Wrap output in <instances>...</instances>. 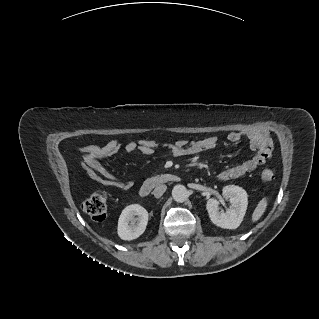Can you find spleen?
Listing matches in <instances>:
<instances>
[{
	"mask_svg": "<svg viewBox=\"0 0 319 319\" xmlns=\"http://www.w3.org/2000/svg\"><path fill=\"white\" fill-rule=\"evenodd\" d=\"M268 205L267 198H262V200L258 203L257 207L255 208L253 214H252V221L256 222L258 221L261 216L264 214L266 208Z\"/></svg>",
	"mask_w": 319,
	"mask_h": 319,
	"instance_id": "3e777b00",
	"label": "spleen"
}]
</instances>
